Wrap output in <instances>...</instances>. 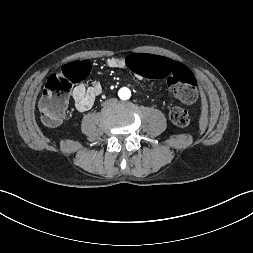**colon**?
I'll use <instances>...</instances> for the list:
<instances>
[{
    "instance_id": "5ec220e1",
    "label": "colon",
    "mask_w": 253,
    "mask_h": 253,
    "mask_svg": "<svg viewBox=\"0 0 253 253\" xmlns=\"http://www.w3.org/2000/svg\"><path fill=\"white\" fill-rule=\"evenodd\" d=\"M126 68L139 77L166 79L175 96L184 103H192L197 98V83L193 74L166 55L134 52L126 59ZM89 71L87 62H77L65 66L48 79L39 103L41 117L46 125L55 126L62 121L72 87L85 79ZM170 117L174 124L184 127L191 121V112L174 107Z\"/></svg>"
}]
</instances>
